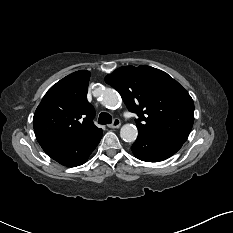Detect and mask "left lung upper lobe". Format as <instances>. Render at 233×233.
I'll list each match as a JSON object with an SVG mask.
<instances>
[{
	"label": "left lung upper lobe",
	"instance_id": "5c2ea615",
	"mask_svg": "<svg viewBox=\"0 0 233 233\" xmlns=\"http://www.w3.org/2000/svg\"><path fill=\"white\" fill-rule=\"evenodd\" d=\"M138 115L139 133L184 143L194 122L189 93L167 73L145 65L125 66L105 77Z\"/></svg>",
	"mask_w": 233,
	"mask_h": 233
}]
</instances>
